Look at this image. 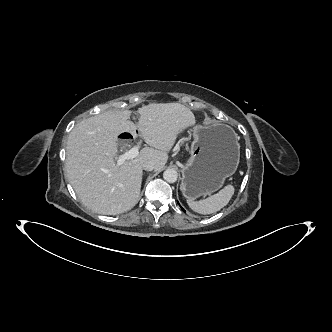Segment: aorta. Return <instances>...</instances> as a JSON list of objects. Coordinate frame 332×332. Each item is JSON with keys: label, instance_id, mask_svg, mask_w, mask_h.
<instances>
[{"label": "aorta", "instance_id": "aorta-1", "mask_svg": "<svg viewBox=\"0 0 332 332\" xmlns=\"http://www.w3.org/2000/svg\"><path fill=\"white\" fill-rule=\"evenodd\" d=\"M163 178L168 183H174L177 181L178 173L174 169H166L163 173Z\"/></svg>", "mask_w": 332, "mask_h": 332}]
</instances>
